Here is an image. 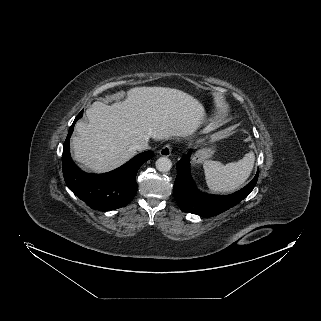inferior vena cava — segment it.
Listing matches in <instances>:
<instances>
[{
    "label": "inferior vena cava",
    "instance_id": "1",
    "mask_svg": "<svg viewBox=\"0 0 321 321\" xmlns=\"http://www.w3.org/2000/svg\"><path fill=\"white\" fill-rule=\"evenodd\" d=\"M135 148H136V150H138V151H144V150L149 149L150 147H149V145H148L147 142H144V143H141V144L136 145Z\"/></svg>",
    "mask_w": 321,
    "mask_h": 321
}]
</instances>
